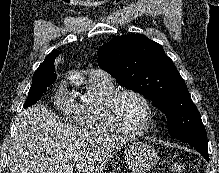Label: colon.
Wrapping results in <instances>:
<instances>
[{
  "label": "colon",
  "mask_w": 219,
  "mask_h": 173,
  "mask_svg": "<svg viewBox=\"0 0 219 173\" xmlns=\"http://www.w3.org/2000/svg\"><path fill=\"white\" fill-rule=\"evenodd\" d=\"M172 173H186L185 165L183 163H174Z\"/></svg>",
  "instance_id": "colon-1"
}]
</instances>
